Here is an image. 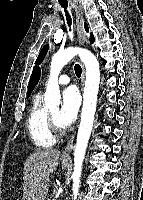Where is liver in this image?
<instances>
[{
    "mask_svg": "<svg viewBox=\"0 0 143 200\" xmlns=\"http://www.w3.org/2000/svg\"><path fill=\"white\" fill-rule=\"evenodd\" d=\"M59 157L57 149H39L27 157L23 169V200H45L49 176L56 170Z\"/></svg>",
    "mask_w": 143,
    "mask_h": 200,
    "instance_id": "6515ba94",
    "label": "liver"
}]
</instances>
